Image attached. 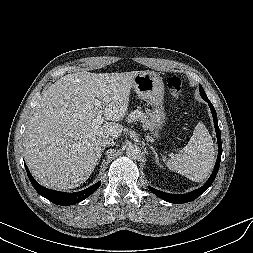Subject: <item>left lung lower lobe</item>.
I'll use <instances>...</instances> for the list:
<instances>
[{
    "label": "left lung lower lobe",
    "mask_w": 253,
    "mask_h": 253,
    "mask_svg": "<svg viewBox=\"0 0 253 253\" xmlns=\"http://www.w3.org/2000/svg\"><path fill=\"white\" fill-rule=\"evenodd\" d=\"M205 101L209 104L210 110L212 112L216 135H217V140H218V157H217V161H216L213 173L210 176V178L208 179V181L202 187H200L199 189L194 190L192 192H189L187 194H183V195L168 194V193L159 191L157 189H154L152 187H149V189L155 195L164 199L165 201H168L171 203H176V204L187 203V202L193 201L211 186V184L213 183V181L217 175V172H218L219 166H220V161H221V154H222L221 133H220V129L218 127L216 111H215L213 105L211 104V102L208 100V98L205 99Z\"/></svg>",
    "instance_id": "0a47b994"
}]
</instances>
